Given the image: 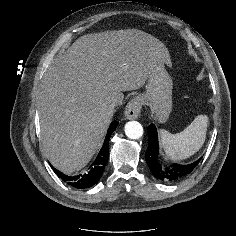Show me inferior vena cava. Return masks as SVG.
I'll use <instances>...</instances> for the list:
<instances>
[{"label":"inferior vena cava","mask_w":236,"mask_h":236,"mask_svg":"<svg viewBox=\"0 0 236 236\" xmlns=\"http://www.w3.org/2000/svg\"><path fill=\"white\" fill-rule=\"evenodd\" d=\"M117 105V103L116 102H114V103H112L111 105H110V107L112 108V109H114V107Z\"/></svg>","instance_id":"1"}]
</instances>
